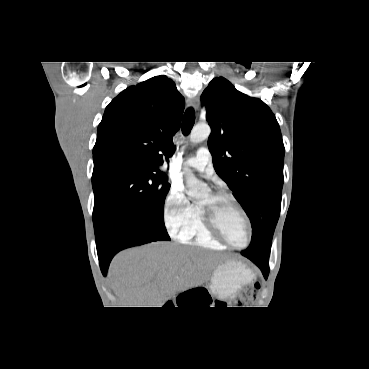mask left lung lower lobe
<instances>
[{"instance_id": "1", "label": "left lung lower lobe", "mask_w": 369, "mask_h": 369, "mask_svg": "<svg viewBox=\"0 0 369 369\" xmlns=\"http://www.w3.org/2000/svg\"><path fill=\"white\" fill-rule=\"evenodd\" d=\"M250 260L254 262L261 269L265 279H267L268 273H269L268 262L263 261V260H257V259H250Z\"/></svg>"}]
</instances>
